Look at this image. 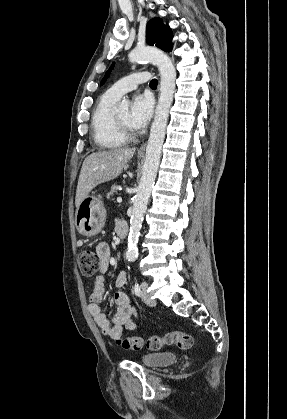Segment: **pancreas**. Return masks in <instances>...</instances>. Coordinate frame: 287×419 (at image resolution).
Listing matches in <instances>:
<instances>
[{"label": "pancreas", "mask_w": 287, "mask_h": 419, "mask_svg": "<svg viewBox=\"0 0 287 419\" xmlns=\"http://www.w3.org/2000/svg\"><path fill=\"white\" fill-rule=\"evenodd\" d=\"M117 190H118V186L116 184H113L110 192L107 194V197L110 198L111 196H113L114 193H117Z\"/></svg>", "instance_id": "pancreas-1"}]
</instances>
